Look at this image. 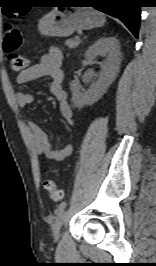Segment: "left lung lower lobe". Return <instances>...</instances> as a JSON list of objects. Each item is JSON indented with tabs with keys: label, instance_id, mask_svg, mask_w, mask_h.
<instances>
[{
	"label": "left lung lower lobe",
	"instance_id": "obj_1",
	"mask_svg": "<svg viewBox=\"0 0 156 266\" xmlns=\"http://www.w3.org/2000/svg\"><path fill=\"white\" fill-rule=\"evenodd\" d=\"M80 7H94L99 11L120 19L135 37L140 25V0H64Z\"/></svg>",
	"mask_w": 156,
	"mask_h": 266
}]
</instances>
